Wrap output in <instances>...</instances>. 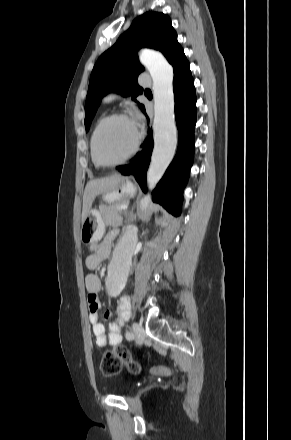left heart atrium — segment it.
Returning <instances> with one entry per match:
<instances>
[{"instance_id":"obj_1","label":"left heart atrium","mask_w":291,"mask_h":440,"mask_svg":"<svg viewBox=\"0 0 291 440\" xmlns=\"http://www.w3.org/2000/svg\"><path fill=\"white\" fill-rule=\"evenodd\" d=\"M140 121H141L140 116H136V117L134 118V120L132 121V123H133V125H134L135 128H137V127L140 125Z\"/></svg>"}]
</instances>
